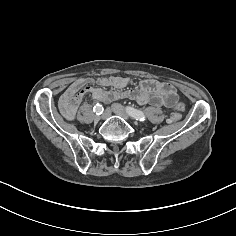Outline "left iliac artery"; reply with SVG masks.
Listing matches in <instances>:
<instances>
[{
	"instance_id": "obj_1",
	"label": "left iliac artery",
	"mask_w": 236,
	"mask_h": 236,
	"mask_svg": "<svg viewBox=\"0 0 236 236\" xmlns=\"http://www.w3.org/2000/svg\"><path fill=\"white\" fill-rule=\"evenodd\" d=\"M126 110H127V113L131 117H133L134 119L139 120V121H145L146 120V117H145V115L142 111L137 110V109H135L133 107H130V106H128L126 108Z\"/></svg>"
}]
</instances>
